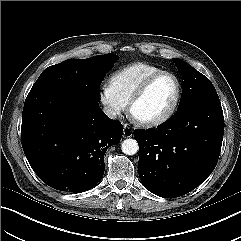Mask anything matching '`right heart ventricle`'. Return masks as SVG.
Returning a JSON list of instances; mask_svg holds the SVG:
<instances>
[{"label": "right heart ventricle", "mask_w": 241, "mask_h": 241, "mask_svg": "<svg viewBox=\"0 0 241 241\" xmlns=\"http://www.w3.org/2000/svg\"><path fill=\"white\" fill-rule=\"evenodd\" d=\"M160 71L162 69L153 64L144 62L132 63L115 71L110 77V84L120 97L129 103L141 84L151 75Z\"/></svg>", "instance_id": "obj_1"}]
</instances>
